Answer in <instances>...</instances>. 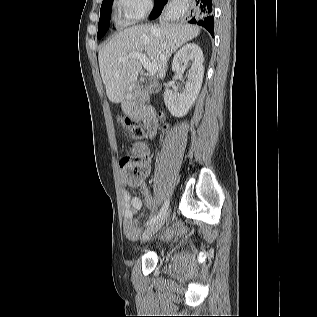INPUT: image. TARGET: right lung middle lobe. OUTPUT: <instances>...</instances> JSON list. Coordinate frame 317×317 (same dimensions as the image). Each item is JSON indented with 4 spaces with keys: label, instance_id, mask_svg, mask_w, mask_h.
<instances>
[{
    "label": "right lung middle lobe",
    "instance_id": "dd1d6c3e",
    "mask_svg": "<svg viewBox=\"0 0 317 317\" xmlns=\"http://www.w3.org/2000/svg\"><path fill=\"white\" fill-rule=\"evenodd\" d=\"M157 0H155L156 2ZM113 0H103L100 9V19H99V29L97 33V38H101L109 27L110 17H111V8Z\"/></svg>",
    "mask_w": 317,
    "mask_h": 317
}]
</instances>
